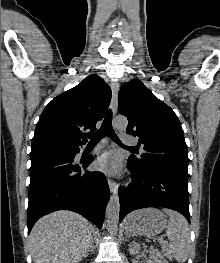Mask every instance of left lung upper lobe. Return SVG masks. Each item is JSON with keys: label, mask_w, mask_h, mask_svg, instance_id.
<instances>
[{"label": "left lung upper lobe", "mask_w": 220, "mask_h": 263, "mask_svg": "<svg viewBox=\"0 0 220 263\" xmlns=\"http://www.w3.org/2000/svg\"><path fill=\"white\" fill-rule=\"evenodd\" d=\"M119 113L126 116V133L139 137L145 153L130 159L138 167H165L188 177V153L181 123L174 111L138 79L119 91Z\"/></svg>", "instance_id": "1"}]
</instances>
